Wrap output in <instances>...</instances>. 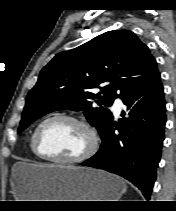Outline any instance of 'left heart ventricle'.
Segmentation results:
<instances>
[{"label": "left heart ventricle", "mask_w": 176, "mask_h": 211, "mask_svg": "<svg viewBox=\"0 0 176 211\" xmlns=\"http://www.w3.org/2000/svg\"><path fill=\"white\" fill-rule=\"evenodd\" d=\"M43 153L73 158L81 155L89 145V136L80 125L67 120H55L46 124L39 134Z\"/></svg>", "instance_id": "left-heart-ventricle-1"}]
</instances>
